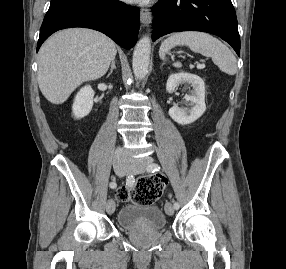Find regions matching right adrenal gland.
<instances>
[{
    "mask_svg": "<svg viewBox=\"0 0 286 269\" xmlns=\"http://www.w3.org/2000/svg\"><path fill=\"white\" fill-rule=\"evenodd\" d=\"M115 63H116V62H115V59H113L112 62H111V68H110V73H109V75H111L112 72H113V70L116 69V64H115Z\"/></svg>",
    "mask_w": 286,
    "mask_h": 269,
    "instance_id": "right-adrenal-gland-1",
    "label": "right adrenal gland"
}]
</instances>
